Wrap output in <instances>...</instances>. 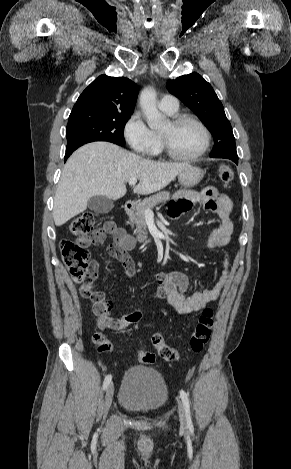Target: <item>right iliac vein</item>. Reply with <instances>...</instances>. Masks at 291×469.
I'll list each match as a JSON object with an SVG mask.
<instances>
[{"label":"right iliac vein","instance_id":"63e3f726","mask_svg":"<svg viewBox=\"0 0 291 469\" xmlns=\"http://www.w3.org/2000/svg\"><path fill=\"white\" fill-rule=\"evenodd\" d=\"M113 394H114V387H113V384H111L107 390H106V394H105V398H104V405H103V413H104V417L107 416V413L110 409V406L112 404V400H113Z\"/></svg>","mask_w":291,"mask_h":469}]
</instances>
